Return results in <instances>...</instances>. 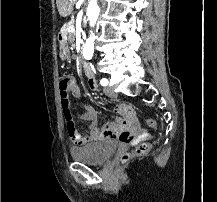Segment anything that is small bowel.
I'll return each mask as SVG.
<instances>
[{
    "instance_id": "obj_1",
    "label": "small bowel",
    "mask_w": 217,
    "mask_h": 202,
    "mask_svg": "<svg viewBox=\"0 0 217 202\" xmlns=\"http://www.w3.org/2000/svg\"><path fill=\"white\" fill-rule=\"evenodd\" d=\"M87 83L91 91H96L97 84L94 77L88 78ZM70 95L75 98H79L81 95V90L76 82ZM79 108L81 110L79 118L88 122L89 125L83 133L75 131L69 134L73 146H85L104 140H117L123 145H135L142 141V136H150L149 132L139 127L134 113L124 114L131 112L132 104H117L116 117L103 125L97 123V112L93 106L81 103Z\"/></svg>"
}]
</instances>
